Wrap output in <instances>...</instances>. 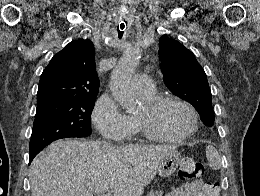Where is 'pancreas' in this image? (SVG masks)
Wrapping results in <instances>:
<instances>
[{"instance_id": "pancreas-1", "label": "pancreas", "mask_w": 260, "mask_h": 196, "mask_svg": "<svg viewBox=\"0 0 260 196\" xmlns=\"http://www.w3.org/2000/svg\"><path fill=\"white\" fill-rule=\"evenodd\" d=\"M149 196H163L162 190H155V192H150Z\"/></svg>"}]
</instances>
